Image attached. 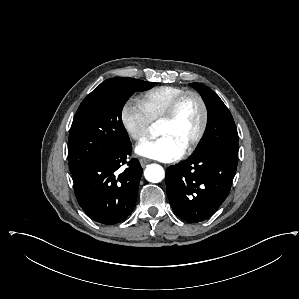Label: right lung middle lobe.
Here are the masks:
<instances>
[{
    "label": "right lung middle lobe",
    "instance_id": "1",
    "mask_svg": "<svg viewBox=\"0 0 299 299\" xmlns=\"http://www.w3.org/2000/svg\"><path fill=\"white\" fill-rule=\"evenodd\" d=\"M152 86L151 82L133 78H112L86 96L69 133V168L72 174L89 162L131 144L122 124V108L135 91H144Z\"/></svg>",
    "mask_w": 299,
    "mask_h": 299
}]
</instances>
